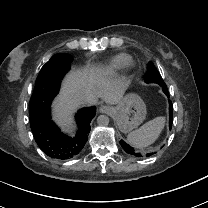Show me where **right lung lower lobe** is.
Masks as SVG:
<instances>
[{"label":"right lung lower lobe","instance_id":"right-lung-lower-lobe-1","mask_svg":"<svg viewBox=\"0 0 208 208\" xmlns=\"http://www.w3.org/2000/svg\"><path fill=\"white\" fill-rule=\"evenodd\" d=\"M67 63L62 59H50L41 69L30 99V126L40 149L56 160H67L77 156L88 140L90 122L96 113V107L80 109L76 116L78 131L68 136L51 120L50 105L58 93L61 79L67 72Z\"/></svg>","mask_w":208,"mask_h":208}]
</instances>
